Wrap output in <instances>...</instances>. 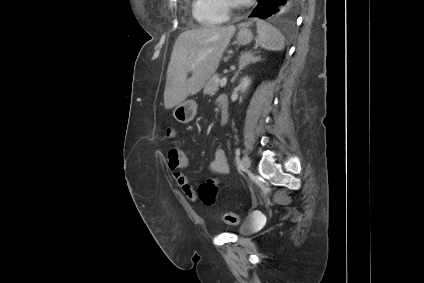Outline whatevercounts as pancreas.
I'll return each mask as SVG.
<instances>
[{
	"mask_svg": "<svg viewBox=\"0 0 424 283\" xmlns=\"http://www.w3.org/2000/svg\"><path fill=\"white\" fill-rule=\"evenodd\" d=\"M218 80L219 76L217 74L213 75L206 83L203 93L205 95L213 96L219 90Z\"/></svg>",
	"mask_w": 424,
	"mask_h": 283,
	"instance_id": "1",
	"label": "pancreas"
}]
</instances>
